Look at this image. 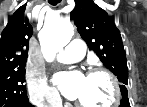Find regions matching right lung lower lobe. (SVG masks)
Instances as JSON below:
<instances>
[{"label": "right lung lower lobe", "instance_id": "obj_1", "mask_svg": "<svg viewBox=\"0 0 147 107\" xmlns=\"http://www.w3.org/2000/svg\"><path fill=\"white\" fill-rule=\"evenodd\" d=\"M14 107H33L29 102L20 103L18 105H15Z\"/></svg>", "mask_w": 147, "mask_h": 107}]
</instances>
